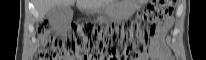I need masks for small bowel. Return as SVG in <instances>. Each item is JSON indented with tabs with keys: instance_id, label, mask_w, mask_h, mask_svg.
I'll list each match as a JSON object with an SVG mask.
<instances>
[{
	"instance_id": "c3829d8e",
	"label": "small bowel",
	"mask_w": 206,
	"mask_h": 60,
	"mask_svg": "<svg viewBox=\"0 0 206 60\" xmlns=\"http://www.w3.org/2000/svg\"><path fill=\"white\" fill-rule=\"evenodd\" d=\"M168 25H163L157 28L152 40V46L149 54L151 60H171V56L164 45V35L167 31ZM145 58H139L143 60Z\"/></svg>"
}]
</instances>
